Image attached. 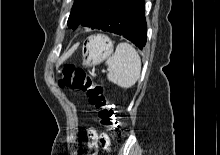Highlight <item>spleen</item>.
Wrapping results in <instances>:
<instances>
[{"label": "spleen", "mask_w": 220, "mask_h": 155, "mask_svg": "<svg viewBox=\"0 0 220 155\" xmlns=\"http://www.w3.org/2000/svg\"><path fill=\"white\" fill-rule=\"evenodd\" d=\"M107 78L121 88H130L138 81L141 72V59L132 45L121 42L115 53L106 61Z\"/></svg>", "instance_id": "1"}]
</instances>
